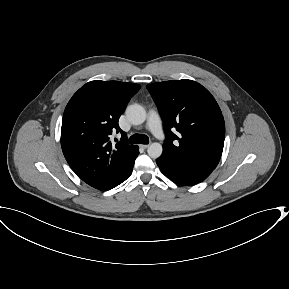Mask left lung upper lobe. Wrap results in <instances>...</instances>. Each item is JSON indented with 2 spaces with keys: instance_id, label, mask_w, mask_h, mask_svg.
Instances as JSON below:
<instances>
[{
  "instance_id": "5c2ea615",
  "label": "left lung upper lobe",
  "mask_w": 289,
  "mask_h": 289,
  "mask_svg": "<svg viewBox=\"0 0 289 289\" xmlns=\"http://www.w3.org/2000/svg\"><path fill=\"white\" fill-rule=\"evenodd\" d=\"M147 89L164 123L161 157L170 163L214 170L223 151L225 123L211 93L187 79L157 82Z\"/></svg>"
}]
</instances>
